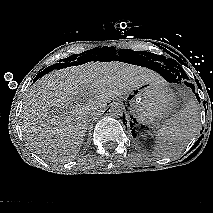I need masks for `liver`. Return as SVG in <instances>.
<instances>
[{
	"label": "liver",
	"instance_id": "1",
	"mask_svg": "<svg viewBox=\"0 0 213 213\" xmlns=\"http://www.w3.org/2000/svg\"><path fill=\"white\" fill-rule=\"evenodd\" d=\"M150 82H162L145 67L119 62H88L53 70L39 78L26 94L22 131L32 150L54 162L72 159L83 144L91 112ZM90 94L86 103L78 96Z\"/></svg>",
	"mask_w": 213,
	"mask_h": 213
}]
</instances>
